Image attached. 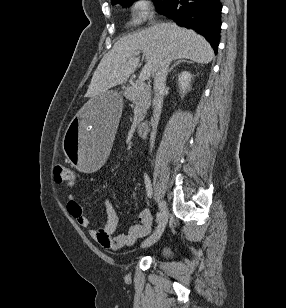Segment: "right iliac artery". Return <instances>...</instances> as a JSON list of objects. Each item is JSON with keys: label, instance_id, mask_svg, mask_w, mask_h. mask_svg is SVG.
<instances>
[{"label": "right iliac artery", "instance_id": "right-iliac-artery-1", "mask_svg": "<svg viewBox=\"0 0 286 308\" xmlns=\"http://www.w3.org/2000/svg\"><path fill=\"white\" fill-rule=\"evenodd\" d=\"M144 182H145L147 195H148V197L151 198V196H152V185H151V181L149 179V176L146 173L144 174ZM156 220H157V222H160V220H161V213L160 212H157Z\"/></svg>", "mask_w": 286, "mask_h": 308}]
</instances>
